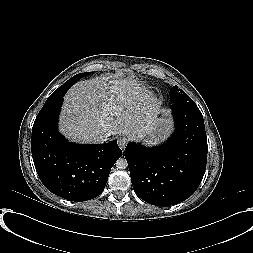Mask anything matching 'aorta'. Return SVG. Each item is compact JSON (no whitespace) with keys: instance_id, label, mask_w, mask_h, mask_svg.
<instances>
[{"instance_id":"762f6f07","label":"aorta","mask_w":253,"mask_h":253,"mask_svg":"<svg viewBox=\"0 0 253 253\" xmlns=\"http://www.w3.org/2000/svg\"><path fill=\"white\" fill-rule=\"evenodd\" d=\"M115 164H116L117 169H120V170L126 169L128 166L127 160L123 157L119 158Z\"/></svg>"}]
</instances>
